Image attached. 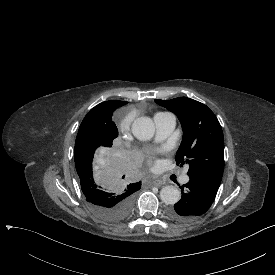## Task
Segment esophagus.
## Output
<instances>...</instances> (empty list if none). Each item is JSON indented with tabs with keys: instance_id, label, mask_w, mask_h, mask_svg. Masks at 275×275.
<instances>
[{
	"instance_id": "obj_1",
	"label": "esophagus",
	"mask_w": 275,
	"mask_h": 275,
	"mask_svg": "<svg viewBox=\"0 0 275 275\" xmlns=\"http://www.w3.org/2000/svg\"><path fill=\"white\" fill-rule=\"evenodd\" d=\"M162 184H163V181L161 179H155L153 181V185L156 187H160V186H162Z\"/></svg>"
}]
</instances>
